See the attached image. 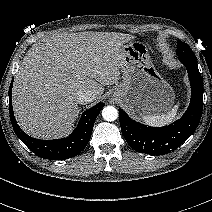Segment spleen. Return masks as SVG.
Segmentation results:
<instances>
[{"label":"spleen","mask_w":212,"mask_h":212,"mask_svg":"<svg viewBox=\"0 0 212 212\" xmlns=\"http://www.w3.org/2000/svg\"><path fill=\"white\" fill-rule=\"evenodd\" d=\"M179 103L176 104L167 114L161 115H145L143 121L152 126H163L173 122L177 116Z\"/></svg>","instance_id":"1"}]
</instances>
